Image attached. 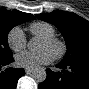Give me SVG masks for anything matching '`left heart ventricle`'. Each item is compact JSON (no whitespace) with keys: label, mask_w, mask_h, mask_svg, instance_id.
Listing matches in <instances>:
<instances>
[{"label":"left heart ventricle","mask_w":89,"mask_h":89,"mask_svg":"<svg viewBox=\"0 0 89 89\" xmlns=\"http://www.w3.org/2000/svg\"><path fill=\"white\" fill-rule=\"evenodd\" d=\"M38 50L42 51V50H49L50 52H52V54L54 55L57 48L47 42H45L44 40H41L38 46Z\"/></svg>","instance_id":"obj_1"}]
</instances>
